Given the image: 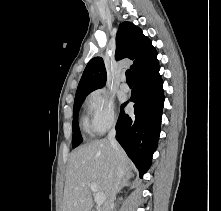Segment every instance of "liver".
Instances as JSON below:
<instances>
[{
	"label": "liver",
	"mask_w": 221,
	"mask_h": 211,
	"mask_svg": "<svg viewBox=\"0 0 221 211\" xmlns=\"http://www.w3.org/2000/svg\"><path fill=\"white\" fill-rule=\"evenodd\" d=\"M118 163L122 178L130 177L131 165L125 151L120 147V155L116 156L107 139L96 140L74 150L66 174L63 211H91L92 183L97 185L98 192L104 194L106 202Z\"/></svg>",
	"instance_id": "liver-1"
}]
</instances>
